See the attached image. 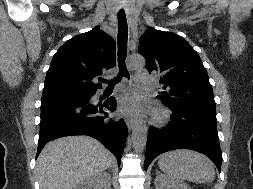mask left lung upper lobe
Here are the masks:
<instances>
[{
  "label": "left lung upper lobe",
  "mask_w": 253,
  "mask_h": 189,
  "mask_svg": "<svg viewBox=\"0 0 253 189\" xmlns=\"http://www.w3.org/2000/svg\"><path fill=\"white\" fill-rule=\"evenodd\" d=\"M139 53L147 70L160 74L159 98L168 107H186L216 114L212 86L198 53L181 36L149 28Z\"/></svg>",
  "instance_id": "obj_1"
}]
</instances>
